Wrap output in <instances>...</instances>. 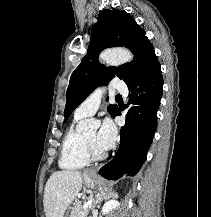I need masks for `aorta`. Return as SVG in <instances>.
<instances>
[{
    "mask_svg": "<svg viewBox=\"0 0 211 217\" xmlns=\"http://www.w3.org/2000/svg\"><path fill=\"white\" fill-rule=\"evenodd\" d=\"M99 59L103 63L120 65L131 61L133 59V55L126 49H112L102 52L99 56ZM81 126L82 128H86L87 121H84Z\"/></svg>",
    "mask_w": 211,
    "mask_h": 217,
    "instance_id": "aorta-1",
    "label": "aorta"
}]
</instances>
